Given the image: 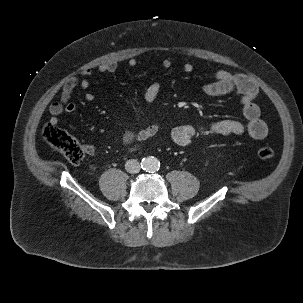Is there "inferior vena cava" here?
<instances>
[{
    "instance_id": "1",
    "label": "inferior vena cava",
    "mask_w": 303,
    "mask_h": 303,
    "mask_svg": "<svg viewBox=\"0 0 303 303\" xmlns=\"http://www.w3.org/2000/svg\"><path fill=\"white\" fill-rule=\"evenodd\" d=\"M125 169L129 173H138L140 171V164L135 159H130L125 164Z\"/></svg>"
}]
</instances>
